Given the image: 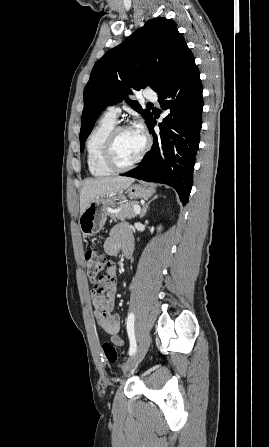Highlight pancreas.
Wrapping results in <instances>:
<instances>
[{"label": "pancreas", "instance_id": "1", "mask_svg": "<svg viewBox=\"0 0 269 447\" xmlns=\"http://www.w3.org/2000/svg\"><path fill=\"white\" fill-rule=\"evenodd\" d=\"M134 204H137V202H128V204H123V206H119L121 208L120 212H117V214H111V212H107L108 216H110L111 220H131V218H135L136 214L133 210ZM119 208H115V210H119Z\"/></svg>", "mask_w": 269, "mask_h": 447}]
</instances>
